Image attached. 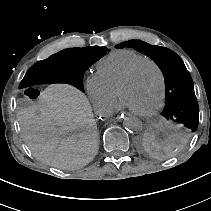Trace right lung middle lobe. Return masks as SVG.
Listing matches in <instances>:
<instances>
[{
    "mask_svg": "<svg viewBox=\"0 0 211 211\" xmlns=\"http://www.w3.org/2000/svg\"><path fill=\"white\" fill-rule=\"evenodd\" d=\"M107 51L106 47L98 46L62 50L34 64L25 80L31 85L68 83L83 90V74Z\"/></svg>",
    "mask_w": 211,
    "mask_h": 211,
    "instance_id": "1",
    "label": "right lung middle lobe"
}]
</instances>
